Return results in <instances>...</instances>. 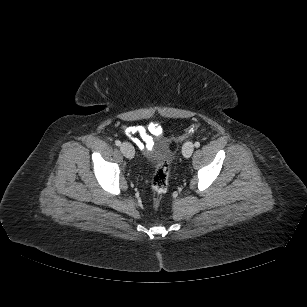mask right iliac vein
Wrapping results in <instances>:
<instances>
[{
  "mask_svg": "<svg viewBox=\"0 0 307 307\" xmlns=\"http://www.w3.org/2000/svg\"><path fill=\"white\" fill-rule=\"evenodd\" d=\"M120 150L126 158L132 159L134 157V153H135L134 148L130 143H126V142L123 143L120 146Z\"/></svg>",
  "mask_w": 307,
  "mask_h": 307,
  "instance_id": "1",
  "label": "right iliac vein"
}]
</instances>
